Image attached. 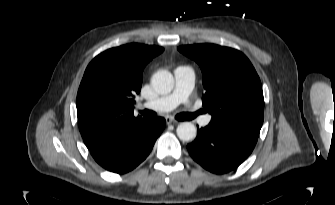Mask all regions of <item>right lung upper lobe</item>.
<instances>
[{"mask_svg": "<svg viewBox=\"0 0 335 205\" xmlns=\"http://www.w3.org/2000/svg\"><path fill=\"white\" fill-rule=\"evenodd\" d=\"M164 51L130 43L108 49L87 66L77 93L79 130L87 148L98 150L126 142L151 120L134 116V96L146 64Z\"/></svg>", "mask_w": 335, "mask_h": 205, "instance_id": "obj_1", "label": "right lung upper lobe"}]
</instances>
